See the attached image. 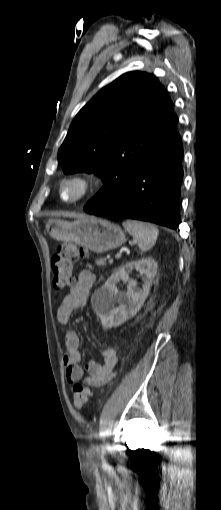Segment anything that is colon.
<instances>
[{
  "label": "colon",
  "instance_id": "5ec220e1",
  "mask_svg": "<svg viewBox=\"0 0 221 510\" xmlns=\"http://www.w3.org/2000/svg\"><path fill=\"white\" fill-rule=\"evenodd\" d=\"M88 256L87 250L72 243H63L58 247L52 258V270L54 273L53 285L62 290L73 282L74 264ZM75 407L81 409L91 396L90 388L76 382L73 385Z\"/></svg>",
  "mask_w": 221,
  "mask_h": 510
}]
</instances>
